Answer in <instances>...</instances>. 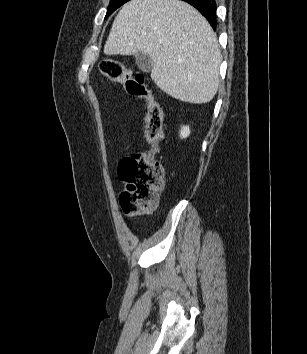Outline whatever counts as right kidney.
I'll use <instances>...</instances> for the list:
<instances>
[{
	"mask_svg": "<svg viewBox=\"0 0 307 354\" xmlns=\"http://www.w3.org/2000/svg\"><path fill=\"white\" fill-rule=\"evenodd\" d=\"M190 134V128L189 126H183L180 130V137L181 138H186Z\"/></svg>",
	"mask_w": 307,
	"mask_h": 354,
	"instance_id": "obj_1",
	"label": "right kidney"
}]
</instances>
